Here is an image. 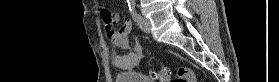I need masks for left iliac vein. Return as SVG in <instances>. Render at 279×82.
Listing matches in <instances>:
<instances>
[{
    "instance_id": "1",
    "label": "left iliac vein",
    "mask_w": 279,
    "mask_h": 82,
    "mask_svg": "<svg viewBox=\"0 0 279 82\" xmlns=\"http://www.w3.org/2000/svg\"><path fill=\"white\" fill-rule=\"evenodd\" d=\"M138 26L145 33L151 32V23L146 17H141V19L138 21Z\"/></svg>"
}]
</instances>
